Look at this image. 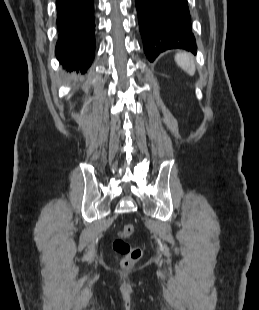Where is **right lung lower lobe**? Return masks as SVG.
I'll return each mask as SVG.
<instances>
[{
  "label": "right lung lower lobe",
  "instance_id": "right-lung-lower-lobe-1",
  "mask_svg": "<svg viewBox=\"0 0 259 310\" xmlns=\"http://www.w3.org/2000/svg\"><path fill=\"white\" fill-rule=\"evenodd\" d=\"M55 54L64 68L86 71L95 55L93 0H56Z\"/></svg>",
  "mask_w": 259,
  "mask_h": 310
}]
</instances>
